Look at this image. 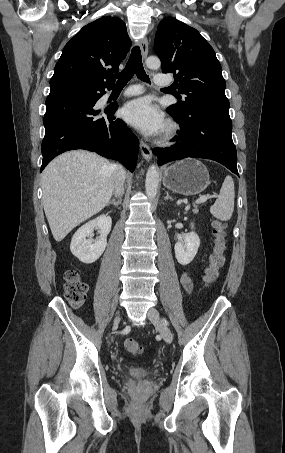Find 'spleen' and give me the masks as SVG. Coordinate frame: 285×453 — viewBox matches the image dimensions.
Listing matches in <instances>:
<instances>
[{
	"instance_id": "3e777b00",
	"label": "spleen",
	"mask_w": 285,
	"mask_h": 453,
	"mask_svg": "<svg viewBox=\"0 0 285 453\" xmlns=\"http://www.w3.org/2000/svg\"><path fill=\"white\" fill-rule=\"evenodd\" d=\"M235 190L231 176H226L220 193L215 203L210 208V213L221 221H228L234 211Z\"/></svg>"
}]
</instances>
